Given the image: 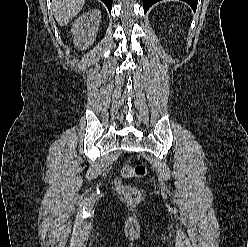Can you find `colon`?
<instances>
[{
	"mask_svg": "<svg viewBox=\"0 0 248 247\" xmlns=\"http://www.w3.org/2000/svg\"><path fill=\"white\" fill-rule=\"evenodd\" d=\"M146 168L142 165L126 164L122 167L121 176L125 179L141 178L145 176ZM117 188L125 201L136 203L140 199V191L131 185H125L121 181L117 182Z\"/></svg>",
	"mask_w": 248,
	"mask_h": 247,
	"instance_id": "5ec220e1",
	"label": "colon"
}]
</instances>
